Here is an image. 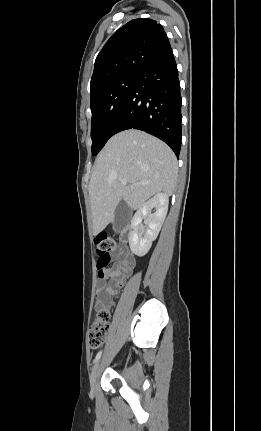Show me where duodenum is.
<instances>
[{"label": "duodenum", "mask_w": 261, "mask_h": 431, "mask_svg": "<svg viewBox=\"0 0 261 431\" xmlns=\"http://www.w3.org/2000/svg\"><path fill=\"white\" fill-rule=\"evenodd\" d=\"M129 236H130V233H129V231L127 230V231H125L123 234H122V240L123 241H128L129 240Z\"/></svg>", "instance_id": "410a0bca"}]
</instances>
